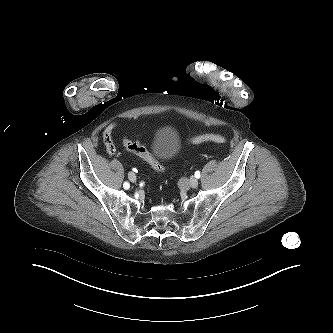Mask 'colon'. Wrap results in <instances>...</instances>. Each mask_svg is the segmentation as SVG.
I'll return each mask as SVG.
<instances>
[{
    "label": "colon",
    "mask_w": 333,
    "mask_h": 333,
    "mask_svg": "<svg viewBox=\"0 0 333 333\" xmlns=\"http://www.w3.org/2000/svg\"><path fill=\"white\" fill-rule=\"evenodd\" d=\"M190 142L193 144H200L205 142L225 143L226 139L218 134H202L190 138ZM123 146L127 151L134 153L142 159L146 160L158 174L162 173L163 168L161 163L157 161L153 155L138 142L125 138L123 140Z\"/></svg>",
    "instance_id": "obj_1"
}]
</instances>
